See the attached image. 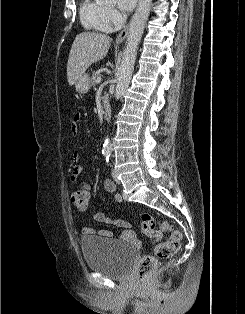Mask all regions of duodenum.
Returning a JSON list of instances; mask_svg holds the SVG:
<instances>
[{"label":"duodenum","instance_id":"410a0bca","mask_svg":"<svg viewBox=\"0 0 245 314\" xmlns=\"http://www.w3.org/2000/svg\"><path fill=\"white\" fill-rule=\"evenodd\" d=\"M102 105L104 109V118L105 121H109L112 115V107L108 96L102 97Z\"/></svg>","mask_w":245,"mask_h":314}]
</instances>
